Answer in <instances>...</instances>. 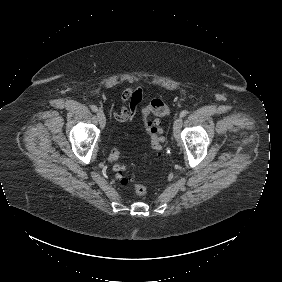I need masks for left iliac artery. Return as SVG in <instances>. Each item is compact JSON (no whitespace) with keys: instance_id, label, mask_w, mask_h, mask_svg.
I'll list each match as a JSON object with an SVG mask.
<instances>
[{"instance_id":"left-iliac-artery-1","label":"left iliac artery","mask_w":282,"mask_h":282,"mask_svg":"<svg viewBox=\"0 0 282 282\" xmlns=\"http://www.w3.org/2000/svg\"><path fill=\"white\" fill-rule=\"evenodd\" d=\"M187 113H188L187 110H183V111L180 113V117L182 118V117L186 116Z\"/></svg>"}]
</instances>
